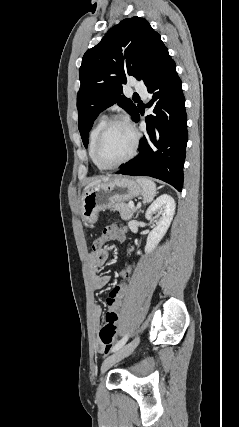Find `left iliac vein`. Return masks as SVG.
I'll return each instance as SVG.
<instances>
[{
    "label": "left iliac vein",
    "mask_w": 239,
    "mask_h": 427,
    "mask_svg": "<svg viewBox=\"0 0 239 427\" xmlns=\"http://www.w3.org/2000/svg\"><path fill=\"white\" fill-rule=\"evenodd\" d=\"M139 337H135L131 342L115 351L111 356L107 357L101 367L102 373L106 372L110 367L130 355L139 344Z\"/></svg>",
    "instance_id": "left-iliac-vein-1"
}]
</instances>
